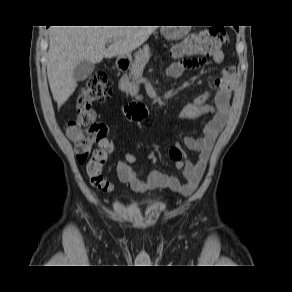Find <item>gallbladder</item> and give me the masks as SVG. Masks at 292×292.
Returning <instances> with one entry per match:
<instances>
[{
    "instance_id": "bac80fb5",
    "label": "gallbladder",
    "mask_w": 292,
    "mask_h": 292,
    "mask_svg": "<svg viewBox=\"0 0 292 292\" xmlns=\"http://www.w3.org/2000/svg\"><path fill=\"white\" fill-rule=\"evenodd\" d=\"M93 70L94 64L83 60L74 68L73 78L76 81H83L92 74Z\"/></svg>"
}]
</instances>
